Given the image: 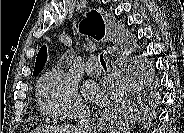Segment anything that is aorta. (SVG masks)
I'll return each instance as SVG.
<instances>
[{
  "instance_id": "aorta-1",
  "label": "aorta",
  "mask_w": 184,
  "mask_h": 133,
  "mask_svg": "<svg viewBox=\"0 0 184 133\" xmlns=\"http://www.w3.org/2000/svg\"><path fill=\"white\" fill-rule=\"evenodd\" d=\"M65 57L69 59V53L68 52L66 53Z\"/></svg>"
}]
</instances>
